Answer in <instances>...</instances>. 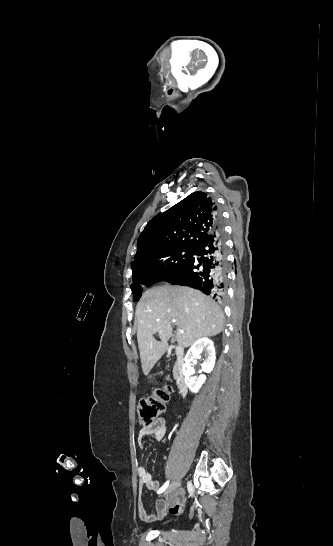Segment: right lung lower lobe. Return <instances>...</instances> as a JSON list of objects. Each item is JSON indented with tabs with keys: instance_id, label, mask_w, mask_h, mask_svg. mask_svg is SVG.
Wrapping results in <instances>:
<instances>
[{
	"instance_id": "obj_1",
	"label": "right lung lower lobe",
	"mask_w": 333,
	"mask_h": 546,
	"mask_svg": "<svg viewBox=\"0 0 333 546\" xmlns=\"http://www.w3.org/2000/svg\"><path fill=\"white\" fill-rule=\"evenodd\" d=\"M194 255L200 256L195 259ZM227 253L219 226L193 247L191 257L164 281L193 287L213 298H221L226 291Z\"/></svg>"
}]
</instances>
